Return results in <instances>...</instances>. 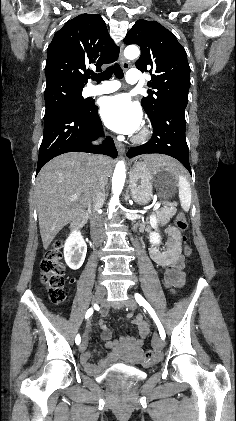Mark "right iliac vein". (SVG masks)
Segmentation results:
<instances>
[{
    "mask_svg": "<svg viewBox=\"0 0 236 421\" xmlns=\"http://www.w3.org/2000/svg\"><path fill=\"white\" fill-rule=\"evenodd\" d=\"M105 295H106V292L104 289L96 288L94 296H93V300H92L93 304H100L102 300L104 299ZM86 346H87V343L85 340H83L79 346V350L81 352L85 351Z\"/></svg>",
    "mask_w": 236,
    "mask_h": 421,
    "instance_id": "63e3f726",
    "label": "right iliac vein"
}]
</instances>
